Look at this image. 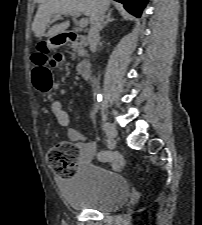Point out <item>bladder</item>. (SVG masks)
Returning a JSON list of instances; mask_svg holds the SVG:
<instances>
[{
	"instance_id": "31cf9c89",
	"label": "bladder",
	"mask_w": 202,
	"mask_h": 225,
	"mask_svg": "<svg viewBox=\"0 0 202 225\" xmlns=\"http://www.w3.org/2000/svg\"><path fill=\"white\" fill-rule=\"evenodd\" d=\"M61 189L71 208L101 213L122 209L129 196V183L123 175L94 164H83L63 178Z\"/></svg>"
}]
</instances>
